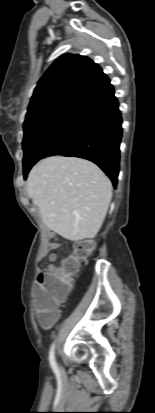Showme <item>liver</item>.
I'll return each instance as SVG.
<instances>
[{
	"label": "liver",
	"mask_w": 155,
	"mask_h": 413,
	"mask_svg": "<svg viewBox=\"0 0 155 413\" xmlns=\"http://www.w3.org/2000/svg\"><path fill=\"white\" fill-rule=\"evenodd\" d=\"M28 196L43 223L63 238H94L112 199L109 178L94 163L52 156L39 161L27 179Z\"/></svg>",
	"instance_id": "6515ba94"
}]
</instances>
